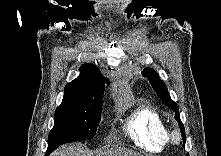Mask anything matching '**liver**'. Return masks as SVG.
Listing matches in <instances>:
<instances>
[{"mask_svg":"<svg viewBox=\"0 0 221 156\" xmlns=\"http://www.w3.org/2000/svg\"><path fill=\"white\" fill-rule=\"evenodd\" d=\"M52 156H142L130 149L113 148L106 151H98L95 153L86 152L79 144L65 145L57 149Z\"/></svg>","mask_w":221,"mask_h":156,"instance_id":"liver-1","label":"liver"}]
</instances>
